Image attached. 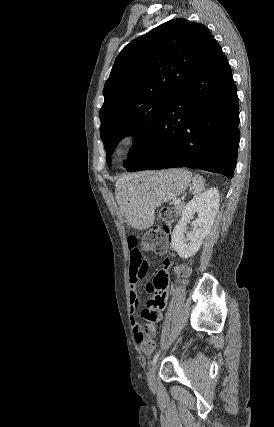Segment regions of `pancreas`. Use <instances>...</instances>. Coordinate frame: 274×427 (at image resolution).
Segmentation results:
<instances>
[{"label":"pancreas","instance_id":"cf45deb5","mask_svg":"<svg viewBox=\"0 0 274 427\" xmlns=\"http://www.w3.org/2000/svg\"><path fill=\"white\" fill-rule=\"evenodd\" d=\"M174 210H175L177 215L181 214V212H183V210H184L183 202H182V204H174Z\"/></svg>","mask_w":274,"mask_h":427}]
</instances>
